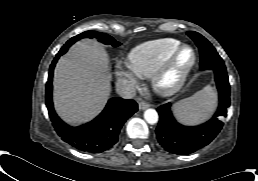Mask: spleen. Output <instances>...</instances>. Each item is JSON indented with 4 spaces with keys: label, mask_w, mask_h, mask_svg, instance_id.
I'll return each mask as SVG.
<instances>
[{
    "label": "spleen",
    "mask_w": 258,
    "mask_h": 181,
    "mask_svg": "<svg viewBox=\"0 0 258 181\" xmlns=\"http://www.w3.org/2000/svg\"><path fill=\"white\" fill-rule=\"evenodd\" d=\"M217 95L210 85L196 92L193 96L177 102L173 106L176 119L186 125L206 120L216 106Z\"/></svg>",
    "instance_id": "3e777b00"
}]
</instances>
